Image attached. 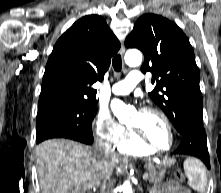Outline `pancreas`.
<instances>
[{"instance_id": "cf45deb5", "label": "pancreas", "mask_w": 221, "mask_h": 193, "mask_svg": "<svg viewBox=\"0 0 221 193\" xmlns=\"http://www.w3.org/2000/svg\"><path fill=\"white\" fill-rule=\"evenodd\" d=\"M146 170L149 172L150 183H158L164 178L165 169L163 167L150 164L146 166Z\"/></svg>"}]
</instances>
